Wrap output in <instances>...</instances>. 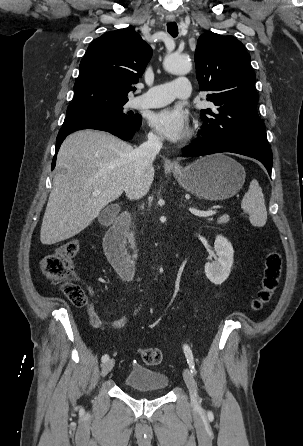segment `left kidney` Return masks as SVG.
Masks as SVG:
<instances>
[{"mask_svg": "<svg viewBox=\"0 0 303 446\" xmlns=\"http://www.w3.org/2000/svg\"><path fill=\"white\" fill-rule=\"evenodd\" d=\"M214 248L217 257L214 261L205 264V274L214 284H222L231 272L234 262V249L232 244L223 236H216Z\"/></svg>", "mask_w": 303, "mask_h": 446, "instance_id": "obj_1", "label": "left kidney"}]
</instances>
